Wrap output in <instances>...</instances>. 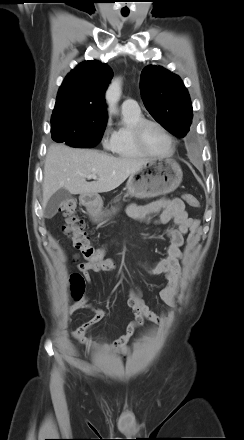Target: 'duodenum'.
I'll return each instance as SVG.
<instances>
[{
  "label": "duodenum",
  "mask_w": 244,
  "mask_h": 440,
  "mask_svg": "<svg viewBox=\"0 0 244 440\" xmlns=\"http://www.w3.org/2000/svg\"><path fill=\"white\" fill-rule=\"evenodd\" d=\"M84 201L88 202V201H90V199L88 197H86V198H84Z\"/></svg>",
  "instance_id": "obj_1"
}]
</instances>
